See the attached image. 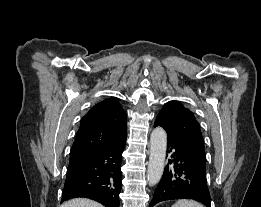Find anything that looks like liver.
<instances>
[{
  "instance_id": "1",
  "label": "liver",
  "mask_w": 261,
  "mask_h": 207,
  "mask_svg": "<svg viewBox=\"0 0 261 207\" xmlns=\"http://www.w3.org/2000/svg\"><path fill=\"white\" fill-rule=\"evenodd\" d=\"M61 207H104L101 204L86 198H76L62 204Z\"/></svg>"
}]
</instances>
